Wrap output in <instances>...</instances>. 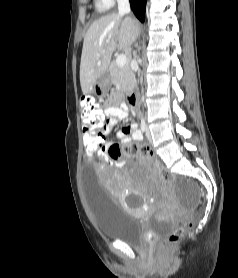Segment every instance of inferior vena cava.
I'll return each instance as SVG.
<instances>
[{
    "mask_svg": "<svg viewBox=\"0 0 238 278\" xmlns=\"http://www.w3.org/2000/svg\"><path fill=\"white\" fill-rule=\"evenodd\" d=\"M118 2V10L120 15L130 13V4L129 0H117ZM143 101V99H142Z\"/></svg>",
    "mask_w": 238,
    "mask_h": 278,
    "instance_id": "602c4592",
    "label": "inferior vena cava"
}]
</instances>
